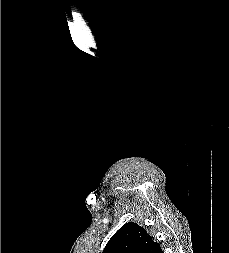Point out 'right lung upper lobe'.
<instances>
[{
  "instance_id": "obj_1",
  "label": "right lung upper lobe",
  "mask_w": 229,
  "mask_h": 253,
  "mask_svg": "<svg viewBox=\"0 0 229 253\" xmlns=\"http://www.w3.org/2000/svg\"><path fill=\"white\" fill-rule=\"evenodd\" d=\"M103 253H163L160 245L144 228L129 222L108 241Z\"/></svg>"
}]
</instances>
